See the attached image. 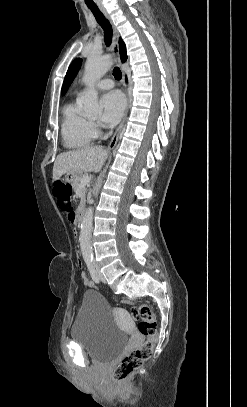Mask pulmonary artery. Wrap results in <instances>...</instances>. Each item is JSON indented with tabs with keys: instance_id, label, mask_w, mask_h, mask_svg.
<instances>
[{
	"instance_id": "obj_1",
	"label": "pulmonary artery",
	"mask_w": 247,
	"mask_h": 407,
	"mask_svg": "<svg viewBox=\"0 0 247 407\" xmlns=\"http://www.w3.org/2000/svg\"><path fill=\"white\" fill-rule=\"evenodd\" d=\"M96 87L101 90L111 89L112 87H114V82L109 78H105L98 81L96 83Z\"/></svg>"
}]
</instances>
